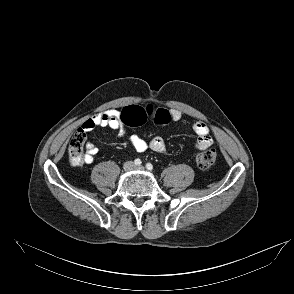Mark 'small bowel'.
Listing matches in <instances>:
<instances>
[{
    "instance_id": "c3829d8e",
    "label": "small bowel",
    "mask_w": 294,
    "mask_h": 294,
    "mask_svg": "<svg viewBox=\"0 0 294 294\" xmlns=\"http://www.w3.org/2000/svg\"><path fill=\"white\" fill-rule=\"evenodd\" d=\"M170 111L172 121L180 122L182 120L183 115L180 110L172 109ZM96 127H108L117 131L119 137H127L137 152H144L150 149L155 153L162 154L166 151L165 141L160 136H155L151 140L146 141L138 135H127L124 124L120 119V111L117 109H109L102 113L93 115L83 123L82 130L91 131ZM192 129L198 136L197 142L195 144V147L198 150H204L212 145L213 141L209 134V127L206 123L203 121H196L193 123ZM97 153L98 148L90 142L87 143L84 162L87 164L92 163Z\"/></svg>"
}]
</instances>
